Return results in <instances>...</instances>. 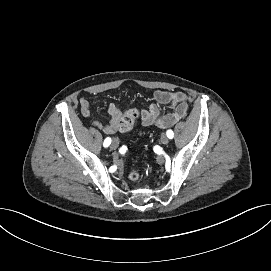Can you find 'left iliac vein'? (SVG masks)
Listing matches in <instances>:
<instances>
[{"mask_svg":"<svg viewBox=\"0 0 271 271\" xmlns=\"http://www.w3.org/2000/svg\"><path fill=\"white\" fill-rule=\"evenodd\" d=\"M160 140H161V143L163 145H167L168 142H169V138H168V136L165 133L161 135V139Z\"/></svg>","mask_w":271,"mask_h":271,"instance_id":"1","label":"left iliac vein"}]
</instances>
